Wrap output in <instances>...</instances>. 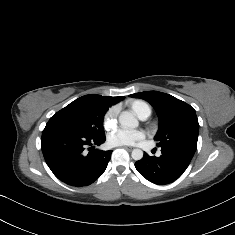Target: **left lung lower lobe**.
I'll return each mask as SVG.
<instances>
[{"mask_svg": "<svg viewBox=\"0 0 235 235\" xmlns=\"http://www.w3.org/2000/svg\"><path fill=\"white\" fill-rule=\"evenodd\" d=\"M160 157L144 154L135 163L138 172L156 184H166L180 177L190 164L194 152L177 146L161 147Z\"/></svg>", "mask_w": 235, "mask_h": 235, "instance_id": "1", "label": "left lung lower lobe"}]
</instances>
